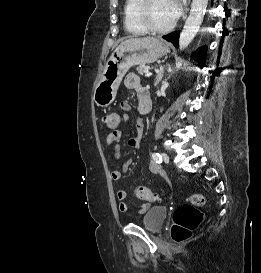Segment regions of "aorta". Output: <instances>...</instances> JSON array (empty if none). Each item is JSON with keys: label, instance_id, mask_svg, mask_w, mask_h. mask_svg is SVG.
I'll return each mask as SVG.
<instances>
[{"label": "aorta", "instance_id": "obj_1", "mask_svg": "<svg viewBox=\"0 0 261 273\" xmlns=\"http://www.w3.org/2000/svg\"><path fill=\"white\" fill-rule=\"evenodd\" d=\"M208 0H192L191 10L179 37L180 49H185L194 39L203 20Z\"/></svg>", "mask_w": 261, "mask_h": 273}]
</instances>
